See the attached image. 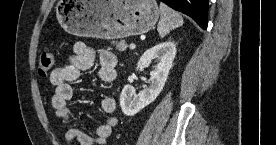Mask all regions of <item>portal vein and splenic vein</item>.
Wrapping results in <instances>:
<instances>
[{
  "label": "portal vein and splenic vein",
  "instance_id": "obj_1",
  "mask_svg": "<svg viewBox=\"0 0 276 145\" xmlns=\"http://www.w3.org/2000/svg\"><path fill=\"white\" fill-rule=\"evenodd\" d=\"M130 49H135L136 48V45L134 43H131L130 46H129Z\"/></svg>",
  "mask_w": 276,
  "mask_h": 145
}]
</instances>
